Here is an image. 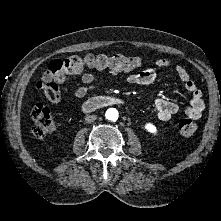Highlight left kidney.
I'll list each match as a JSON object with an SVG mask.
<instances>
[{
	"label": "left kidney",
	"mask_w": 221,
	"mask_h": 221,
	"mask_svg": "<svg viewBox=\"0 0 221 221\" xmlns=\"http://www.w3.org/2000/svg\"><path fill=\"white\" fill-rule=\"evenodd\" d=\"M145 129L148 132L152 133V134H156L157 133V129H156L155 125H153L152 123H146L145 124Z\"/></svg>",
	"instance_id": "5707ae66"
}]
</instances>
